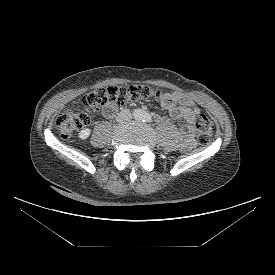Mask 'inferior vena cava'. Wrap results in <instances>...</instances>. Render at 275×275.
<instances>
[{"instance_id":"obj_1","label":"inferior vena cava","mask_w":275,"mask_h":275,"mask_svg":"<svg viewBox=\"0 0 275 275\" xmlns=\"http://www.w3.org/2000/svg\"><path fill=\"white\" fill-rule=\"evenodd\" d=\"M131 118H132L131 112L128 109H124L118 114V116L116 117V121L121 123V122L130 121Z\"/></svg>"}]
</instances>
